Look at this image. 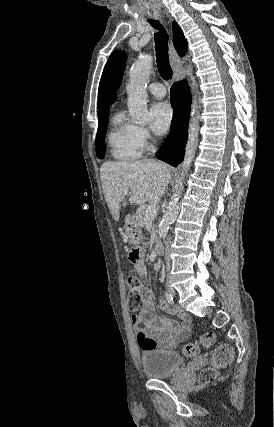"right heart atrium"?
<instances>
[{"mask_svg":"<svg viewBox=\"0 0 274 427\" xmlns=\"http://www.w3.org/2000/svg\"><path fill=\"white\" fill-rule=\"evenodd\" d=\"M138 139L142 148L147 150L151 147L150 133L146 128L138 127Z\"/></svg>","mask_w":274,"mask_h":427,"instance_id":"d8ad5b80","label":"right heart atrium"}]
</instances>
